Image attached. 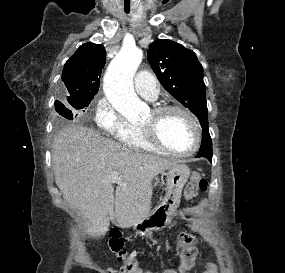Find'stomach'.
Returning <instances> with one entry per match:
<instances>
[{"instance_id": "0dacf381", "label": "stomach", "mask_w": 285, "mask_h": 273, "mask_svg": "<svg viewBox=\"0 0 285 273\" xmlns=\"http://www.w3.org/2000/svg\"><path fill=\"white\" fill-rule=\"evenodd\" d=\"M190 175V169L185 164H176L168 169L166 173V194L161 203L144 220L134 224V228L145 234L156 229L154 222H168L172 213L179 206L181 193Z\"/></svg>"}]
</instances>
